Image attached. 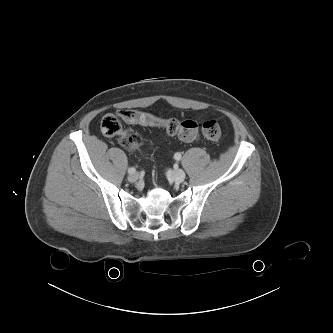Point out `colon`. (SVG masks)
<instances>
[{"label": "colon", "mask_w": 333, "mask_h": 333, "mask_svg": "<svg viewBox=\"0 0 333 333\" xmlns=\"http://www.w3.org/2000/svg\"><path fill=\"white\" fill-rule=\"evenodd\" d=\"M121 120L129 124L161 126L171 135L192 142L199 138V126L195 121H180L176 118L159 119L151 114L132 110H121L117 114L108 113L103 116L100 128L106 136H118L120 144L129 151H135L142 145L141 135L133 129H123ZM201 134L208 140H217L221 136V126L216 119L205 121L201 126Z\"/></svg>", "instance_id": "5ec220e1"}]
</instances>
